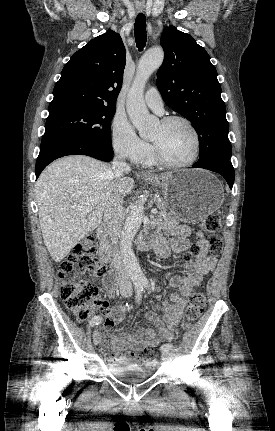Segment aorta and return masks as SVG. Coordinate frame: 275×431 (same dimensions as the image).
I'll list each match as a JSON object with an SVG mask.
<instances>
[{"label": "aorta", "instance_id": "aorta-1", "mask_svg": "<svg viewBox=\"0 0 275 431\" xmlns=\"http://www.w3.org/2000/svg\"><path fill=\"white\" fill-rule=\"evenodd\" d=\"M164 53L161 48L147 51L139 61L137 72L127 96L126 109L130 120L142 137H146L156 125V118L148 112L144 101V88L151 74L160 67ZM144 215V203L135 201L130 208L121 232L120 252L125 269L135 284L145 281L139 262L133 251V240Z\"/></svg>", "mask_w": 275, "mask_h": 431}]
</instances>
